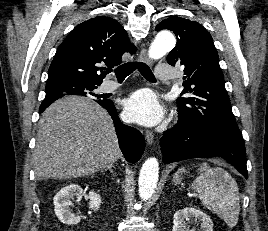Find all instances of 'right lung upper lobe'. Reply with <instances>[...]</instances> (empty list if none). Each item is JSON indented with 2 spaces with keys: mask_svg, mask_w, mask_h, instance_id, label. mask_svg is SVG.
Returning <instances> with one entry per match:
<instances>
[{
  "mask_svg": "<svg viewBox=\"0 0 268 231\" xmlns=\"http://www.w3.org/2000/svg\"><path fill=\"white\" fill-rule=\"evenodd\" d=\"M135 51L117 20L105 16L92 18L76 26L60 44L48 70L47 84L70 80L100 85L111 68L121 63L125 52ZM100 63H105L108 70L101 71L105 68L98 67ZM54 101L44 100L39 111Z\"/></svg>",
  "mask_w": 268,
  "mask_h": 231,
  "instance_id": "right-lung-upper-lobe-1",
  "label": "right lung upper lobe"
}]
</instances>
